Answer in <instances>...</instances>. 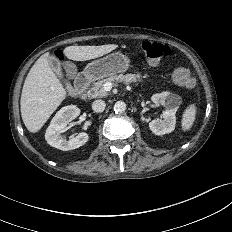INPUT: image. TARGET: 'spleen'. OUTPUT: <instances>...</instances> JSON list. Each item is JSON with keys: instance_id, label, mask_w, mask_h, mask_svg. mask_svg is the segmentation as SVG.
<instances>
[{"instance_id": "obj_1", "label": "spleen", "mask_w": 232, "mask_h": 232, "mask_svg": "<svg viewBox=\"0 0 232 232\" xmlns=\"http://www.w3.org/2000/svg\"><path fill=\"white\" fill-rule=\"evenodd\" d=\"M196 107L194 104L190 105L189 108L184 112L182 119L183 130H189L195 120Z\"/></svg>"}]
</instances>
